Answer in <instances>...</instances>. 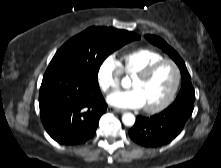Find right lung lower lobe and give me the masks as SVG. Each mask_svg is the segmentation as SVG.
I'll list each match as a JSON object with an SVG mask.
<instances>
[{"label": "right lung lower lobe", "mask_w": 221, "mask_h": 168, "mask_svg": "<svg viewBox=\"0 0 221 168\" xmlns=\"http://www.w3.org/2000/svg\"><path fill=\"white\" fill-rule=\"evenodd\" d=\"M39 106L47 133L65 145L89 140L107 108L98 81L83 73L63 71L45 72Z\"/></svg>", "instance_id": "right-lung-lower-lobe-1"}]
</instances>
